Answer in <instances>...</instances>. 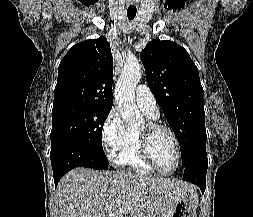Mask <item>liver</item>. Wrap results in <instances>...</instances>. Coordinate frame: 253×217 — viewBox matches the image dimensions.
Returning a JSON list of instances; mask_svg holds the SVG:
<instances>
[{
  "label": "liver",
  "instance_id": "obj_1",
  "mask_svg": "<svg viewBox=\"0 0 253 217\" xmlns=\"http://www.w3.org/2000/svg\"><path fill=\"white\" fill-rule=\"evenodd\" d=\"M60 217H170L179 200H196L192 185L131 172L75 168L57 187Z\"/></svg>",
  "mask_w": 253,
  "mask_h": 217
}]
</instances>
